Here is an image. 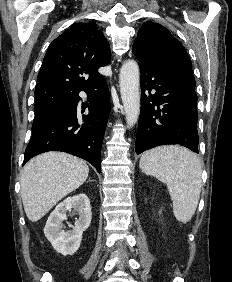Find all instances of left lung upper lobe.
<instances>
[{"mask_svg":"<svg viewBox=\"0 0 232 282\" xmlns=\"http://www.w3.org/2000/svg\"><path fill=\"white\" fill-rule=\"evenodd\" d=\"M132 52L141 63L181 62L192 66L183 45L166 27L151 21L139 29Z\"/></svg>","mask_w":232,"mask_h":282,"instance_id":"obj_1","label":"left lung upper lobe"}]
</instances>
